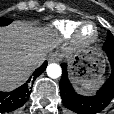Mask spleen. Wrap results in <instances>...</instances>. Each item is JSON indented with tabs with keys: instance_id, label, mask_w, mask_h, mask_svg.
<instances>
[{
	"instance_id": "spleen-1",
	"label": "spleen",
	"mask_w": 114,
	"mask_h": 114,
	"mask_svg": "<svg viewBox=\"0 0 114 114\" xmlns=\"http://www.w3.org/2000/svg\"><path fill=\"white\" fill-rule=\"evenodd\" d=\"M103 82V78L97 80H87L81 84V87L88 92H94L95 90H97L98 87L103 84Z\"/></svg>"
}]
</instances>
